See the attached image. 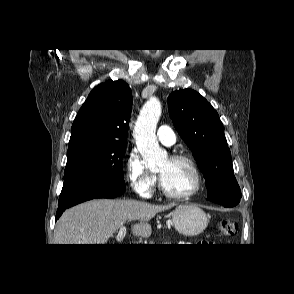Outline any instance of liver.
Here are the masks:
<instances>
[{
  "mask_svg": "<svg viewBox=\"0 0 294 294\" xmlns=\"http://www.w3.org/2000/svg\"><path fill=\"white\" fill-rule=\"evenodd\" d=\"M173 205H153L136 200L96 199L68 209L56 223L55 244H105L126 221L135 235L148 237V223L158 212Z\"/></svg>",
  "mask_w": 294,
  "mask_h": 294,
  "instance_id": "liver-1",
  "label": "liver"
}]
</instances>
